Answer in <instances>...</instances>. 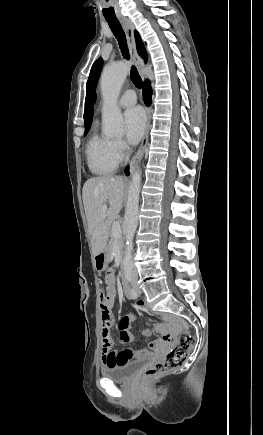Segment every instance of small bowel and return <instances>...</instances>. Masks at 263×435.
Segmentation results:
<instances>
[{"instance_id":"small-bowel-1","label":"small bowel","mask_w":263,"mask_h":435,"mask_svg":"<svg viewBox=\"0 0 263 435\" xmlns=\"http://www.w3.org/2000/svg\"><path fill=\"white\" fill-rule=\"evenodd\" d=\"M115 272L109 270L106 274V294L103 301L100 304L101 320H102V336L103 330L105 328H110L112 330L114 324L113 306L116 300L117 291L115 288ZM137 309H142L141 304H137ZM136 319L134 315H126L121 318L118 323L119 338L123 343L131 342L135 340L134 335L130 330L131 322ZM172 324H177L175 318L167 319ZM157 330L162 331L163 325H157ZM143 336L148 337L150 335L149 331H143ZM103 341V339H102ZM175 336H160L158 341L149 344V348L140 347L137 349H125L122 351L117 350H102V361L105 366H119L135 360L153 357L162 353L166 348H171V345H175Z\"/></svg>"}]
</instances>
